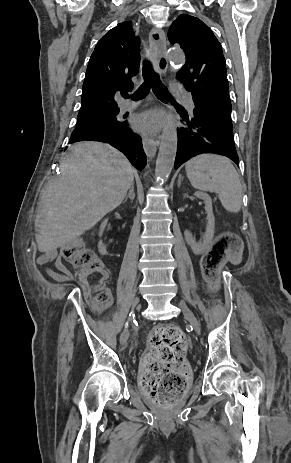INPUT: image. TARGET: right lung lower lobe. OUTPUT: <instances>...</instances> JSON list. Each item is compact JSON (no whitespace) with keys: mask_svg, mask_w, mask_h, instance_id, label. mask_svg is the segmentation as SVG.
<instances>
[{"mask_svg":"<svg viewBox=\"0 0 291 463\" xmlns=\"http://www.w3.org/2000/svg\"><path fill=\"white\" fill-rule=\"evenodd\" d=\"M94 140L109 143L121 151L138 170H142L147 162L141 138L132 133L128 122L118 125L94 128L86 132L72 134L69 143Z\"/></svg>","mask_w":291,"mask_h":463,"instance_id":"obj_1","label":"right lung lower lobe"}]
</instances>
